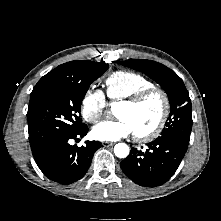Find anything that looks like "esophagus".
Returning <instances> with one entry per match:
<instances>
[{"label": "esophagus", "instance_id": "esophagus-1", "mask_svg": "<svg viewBox=\"0 0 221 221\" xmlns=\"http://www.w3.org/2000/svg\"><path fill=\"white\" fill-rule=\"evenodd\" d=\"M102 145H103L104 147H109V146H113L114 143L108 142V141H103V142H102Z\"/></svg>", "mask_w": 221, "mask_h": 221}]
</instances>
